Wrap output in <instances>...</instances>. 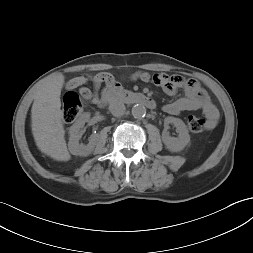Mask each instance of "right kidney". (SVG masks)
Returning <instances> with one entry per match:
<instances>
[{
	"mask_svg": "<svg viewBox=\"0 0 253 253\" xmlns=\"http://www.w3.org/2000/svg\"><path fill=\"white\" fill-rule=\"evenodd\" d=\"M89 119L88 114L82 115L71 127L69 130V142L68 148L71 154L78 156H88L90 155L98 140V134H92L89 139V143L87 145L79 144V140L81 138V129L84 127L85 122Z\"/></svg>",
	"mask_w": 253,
	"mask_h": 253,
	"instance_id": "1",
	"label": "right kidney"
}]
</instances>
